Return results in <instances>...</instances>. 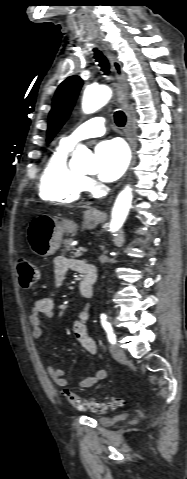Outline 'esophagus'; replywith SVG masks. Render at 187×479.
Wrapping results in <instances>:
<instances>
[{
	"mask_svg": "<svg viewBox=\"0 0 187 479\" xmlns=\"http://www.w3.org/2000/svg\"><path fill=\"white\" fill-rule=\"evenodd\" d=\"M107 57L111 63L112 70L115 74V79H116V90H117V95L119 98V101L121 103V106L123 110L125 111L126 114V125H125V136L126 139L129 143L130 149H131V154H133V132H132V116H131V111L129 108L128 104V83H127V78L126 74L124 73L122 69V65L120 61L117 59L115 54L112 52L111 48L107 44H103ZM93 213L100 214V211L94 209L92 210Z\"/></svg>",
	"mask_w": 187,
	"mask_h": 479,
	"instance_id": "1",
	"label": "esophagus"
}]
</instances>
